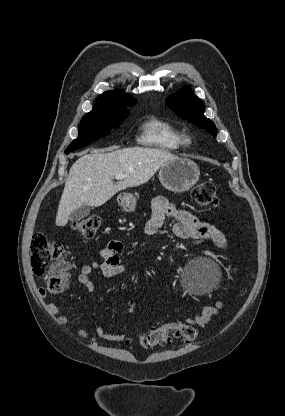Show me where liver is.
<instances>
[{
    "label": "liver",
    "mask_w": 285,
    "mask_h": 416,
    "mask_svg": "<svg viewBox=\"0 0 285 416\" xmlns=\"http://www.w3.org/2000/svg\"><path fill=\"white\" fill-rule=\"evenodd\" d=\"M115 150V146L110 148ZM89 152V150H85ZM91 150L71 166L59 202L56 226H66L75 210L82 206H103L114 194L149 182L161 166L178 160L167 150L156 148H123L104 154ZM116 174H125L121 182H113Z\"/></svg>",
    "instance_id": "1"
}]
</instances>
